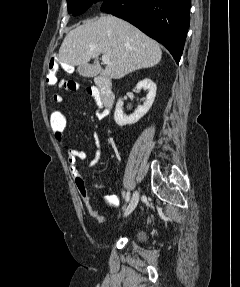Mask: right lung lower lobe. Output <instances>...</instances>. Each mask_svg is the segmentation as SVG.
<instances>
[{
    "instance_id": "right-lung-lower-lobe-1",
    "label": "right lung lower lobe",
    "mask_w": 240,
    "mask_h": 287,
    "mask_svg": "<svg viewBox=\"0 0 240 287\" xmlns=\"http://www.w3.org/2000/svg\"><path fill=\"white\" fill-rule=\"evenodd\" d=\"M190 0H105L101 11L122 18L162 43L179 63L189 28Z\"/></svg>"
}]
</instances>
